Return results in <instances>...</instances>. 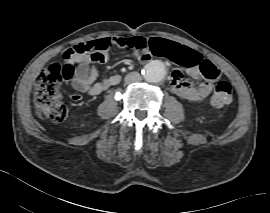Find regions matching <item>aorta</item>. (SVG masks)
<instances>
[{"label":"aorta","instance_id":"1","mask_svg":"<svg viewBox=\"0 0 270 213\" xmlns=\"http://www.w3.org/2000/svg\"><path fill=\"white\" fill-rule=\"evenodd\" d=\"M143 73L147 81L157 83L166 77L167 67L162 61L154 60L145 65Z\"/></svg>","mask_w":270,"mask_h":213}]
</instances>
